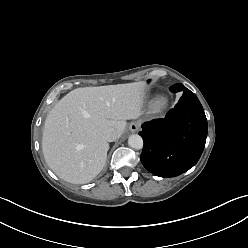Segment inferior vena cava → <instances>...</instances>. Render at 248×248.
<instances>
[{"label": "inferior vena cava", "mask_w": 248, "mask_h": 248, "mask_svg": "<svg viewBox=\"0 0 248 248\" xmlns=\"http://www.w3.org/2000/svg\"><path fill=\"white\" fill-rule=\"evenodd\" d=\"M101 136L105 141L112 142L118 138V133L113 128H106L102 131Z\"/></svg>", "instance_id": "602c4592"}]
</instances>
